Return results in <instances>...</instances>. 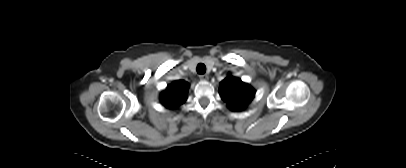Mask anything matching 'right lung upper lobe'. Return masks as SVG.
<instances>
[{
    "mask_svg": "<svg viewBox=\"0 0 406 168\" xmlns=\"http://www.w3.org/2000/svg\"><path fill=\"white\" fill-rule=\"evenodd\" d=\"M189 84L183 80L174 81L161 93V103L169 108L175 109L187 99Z\"/></svg>",
    "mask_w": 406,
    "mask_h": 168,
    "instance_id": "obj_1",
    "label": "right lung upper lobe"
}]
</instances>
